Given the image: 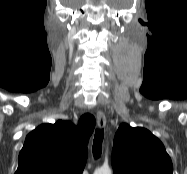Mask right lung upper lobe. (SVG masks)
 I'll return each mask as SVG.
<instances>
[{"label": "right lung upper lobe", "instance_id": "right-lung-upper-lobe-1", "mask_svg": "<svg viewBox=\"0 0 187 174\" xmlns=\"http://www.w3.org/2000/svg\"><path fill=\"white\" fill-rule=\"evenodd\" d=\"M94 125L59 120L38 126L26 137L15 174H82Z\"/></svg>", "mask_w": 187, "mask_h": 174}]
</instances>
